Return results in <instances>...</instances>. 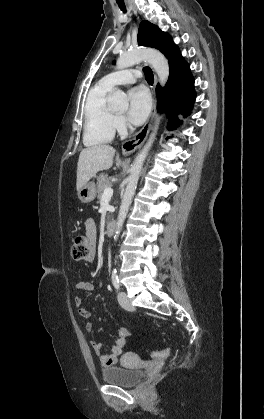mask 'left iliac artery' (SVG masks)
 Returning <instances> with one entry per match:
<instances>
[{"mask_svg":"<svg viewBox=\"0 0 264 419\" xmlns=\"http://www.w3.org/2000/svg\"><path fill=\"white\" fill-rule=\"evenodd\" d=\"M112 283H113V286H114L117 290H119V289H120V283H119V279H118V276H117V271H116V269H114V270L112 271Z\"/></svg>","mask_w":264,"mask_h":419,"instance_id":"obj_1","label":"left iliac artery"}]
</instances>
